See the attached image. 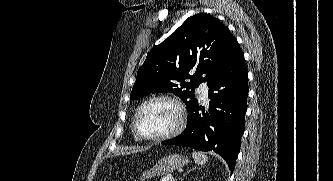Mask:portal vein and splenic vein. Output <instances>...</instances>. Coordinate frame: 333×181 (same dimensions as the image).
Wrapping results in <instances>:
<instances>
[{
    "label": "portal vein and splenic vein",
    "mask_w": 333,
    "mask_h": 181,
    "mask_svg": "<svg viewBox=\"0 0 333 181\" xmlns=\"http://www.w3.org/2000/svg\"><path fill=\"white\" fill-rule=\"evenodd\" d=\"M162 181H164V180H162ZM170 181H175V179H174V178H171Z\"/></svg>",
    "instance_id": "1"
}]
</instances>
